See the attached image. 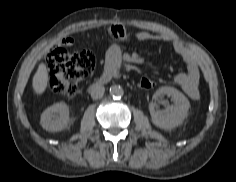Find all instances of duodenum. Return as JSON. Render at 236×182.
I'll return each instance as SVG.
<instances>
[{
  "label": "duodenum",
  "mask_w": 236,
  "mask_h": 182,
  "mask_svg": "<svg viewBox=\"0 0 236 182\" xmlns=\"http://www.w3.org/2000/svg\"><path fill=\"white\" fill-rule=\"evenodd\" d=\"M117 70L118 64L106 66L99 79L96 82H92L88 88L91 89L97 85L105 84L111 81L116 76Z\"/></svg>",
  "instance_id": "410a0bca"
}]
</instances>
